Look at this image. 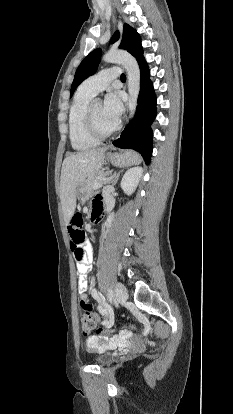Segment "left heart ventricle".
Returning <instances> with one entry per match:
<instances>
[{
	"label": "left heart ventricle",
	"instance_id": "1",
	"mask_svg": "<svg viewBox=\"0 0 233 414\" xmlns=\"http://www.w3.org/2000/svg\"><path fill=\"white\" fill-rule=\"evenodd\" d=\"M92 113L95 126L100 132H109L114 128L116 123L105 115L101 104L93 105Z\"/></svg>",
	"mask_w": 233,
	"mask_h": 414
}]
</instances>
